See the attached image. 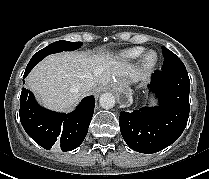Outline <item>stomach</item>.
<instances>
[{"label":"stomach","instance_id":"1","mask_svg":"<svg viewBox=\"0 0 209 179\" xmlns=\"http://www.w3.org/2000/svg\"><path fill=\"white\" fill-rule=\"evenodd\" d=\"M123 92H127L129 89V84L125 81H118L117 84Z\"/></svg>","mask_w":209,"mask_h":179}]
</instances>
